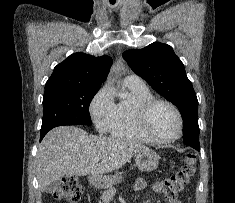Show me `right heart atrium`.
Returning a JSON list of instances; mask_svg holds the SVG:
<instances>
[{
  "label": "right heart atrium",
  "mask_w": 235,
  "mask_h": 203,
  "mask_svg": "<svg viewBox=\"0 0 235 203\" xmlns=\"http://www.w3.org/2000/svg\"><path fill=\"white\" fill-rule=\"evenodd\" d=\"M114 102L110 89L101 87L89 104L90 116L99 131H107L114 112Z\"/></svg>",
  "instance_id": "obj_1"
}]
</instances>
